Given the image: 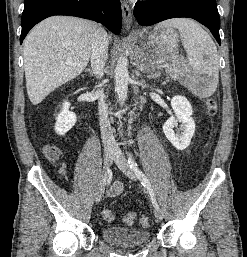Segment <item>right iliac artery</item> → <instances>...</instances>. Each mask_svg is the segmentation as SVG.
Returning <instances> with one entry per match:
<instances>
[{
	"label": "right iliac artery",
	"mask_w": 247,
	"mask_h": 257,
	"mask_svg": "<svg viewBox=\"0 0 247 257\" xmlns=\"http://www.w3.org/2000/svg\"><path fill=\"white\" fill-rule=\"evenodd\" d=\"M105 183H106V175L103 178V184H105Z\"/></svg>",
	"instance_id": "right-iliac-artery-1"
}]
</instances>
